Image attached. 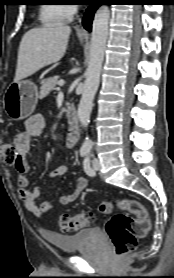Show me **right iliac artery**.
Listing matches in <instances>:
<instances>
[{
    "instance_id": "right-iliac-artery-1",
    "label": "right iliac artery",
    "mask_w": 174,
    "mask_h": 278,
    "mask_svg": "<svg viewBox=\"0 0 174 278\" xmlns=\"http://www.w3.org/2000/svg\"><path fill=\"white\" fill-rule=\"evenodd\" d=\"M87 153H88V150H87V149H81V150H80V155H81L82 157H84Z\"/></svg>"
}]
</instances>
